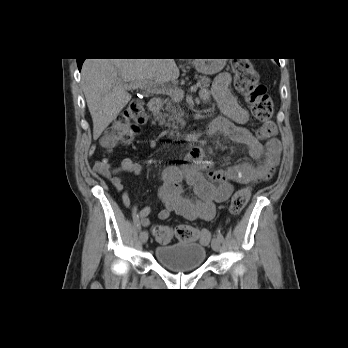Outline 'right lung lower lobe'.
Here are the masks:
<instances>
[{
    "instance_id": "98d812e1",
    "label": "right lung lower lobe",
    "mask_w": 348,
    "mask_h": 348,
    "mask_svg": "<svg viewBox=\"0 0 348 348\" xmlns=\"http://www.w3.org/2000/svg\"><path fill=\"white\" fill-rule=\"evenodd\" d=\"M85 59H77V64H78V68L79 70H81L82 64L84 62Z\"/></svg>"
}]
</instances>
